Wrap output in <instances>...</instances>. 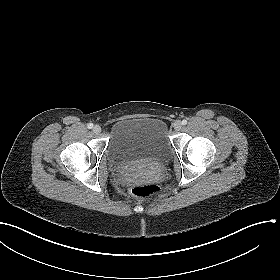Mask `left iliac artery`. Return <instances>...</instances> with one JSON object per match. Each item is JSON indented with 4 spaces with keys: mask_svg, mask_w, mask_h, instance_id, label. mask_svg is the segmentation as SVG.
<instances>
[{
    "mask_svg": "<svg viewBox=\"0 0 280 280\" xmlns=\"http://www.w3.org/2000/svg\"><path fill=\"white\" fill-rule=\"evenodd\" d=\"M186 124H187V120L184 119V120L182 121V125H186Z\"/></svg>",
    "mask_w": 280,
    "mask_h": 280,
    "instance_id": "1",
    "label": "left iliac artery"
}]
</instances>
